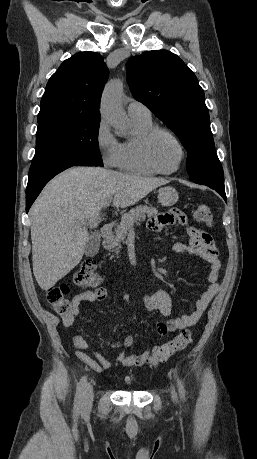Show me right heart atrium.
Masks as SVG:
<instances>
[{
	"mask_svg": "<svg viewBox=\"0 0 257 459\" xmlns=\"http://www.w3.org/2000/svg\"><path fill=\"white\" fill-rule=\"evenodd\" d=\"M95 141L104 164L107 166H116L120 143L112 134L108 123L103 119L98 124Z\"/></svg>",
	"mask_w": 257,
	"mask_h": 459,
	"instance_id": "d8ad5b80",
	"label": "right heart atrium"
}]
</instances>
